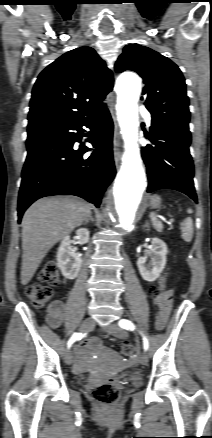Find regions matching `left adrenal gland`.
<instances>
[{"label": "left adrenal gland", "mask_w": 212, "mask_h": 438, "mask_svg": "<svg viewBox=\"0 0 212 438\" xmlns=\"http://www.w3.org/2000/svg\"><path fill=\"white\" fill-rule=\"evenodd\" d=\"M144 227H149V224H148V222H146V223H145Z\"/></svg>", "instance_id": "left-adrenal-gland-1"}]
</instances>
